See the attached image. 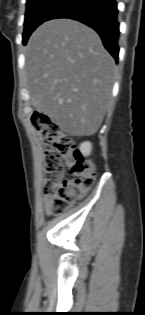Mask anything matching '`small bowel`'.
<instances>
[{
    "label": "small bowel",
    "mask_w": 145,
    "mask_h": 315,
    "mask_svg": "<svg viewBox=\"0 0 145 315\" xmlns=\"http://www.w3.org/2000/svg\"><path fill=\"white\" fill-rule=\"evenodd\" d=\"M50 200H51L50 196H46L45 199H44L46 210H47L48 213L50 212Z\"/></svg>",
    "instance_id": "obj_1"
}]
</instances>
